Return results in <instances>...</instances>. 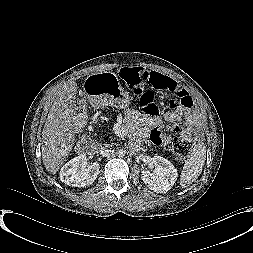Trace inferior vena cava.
Instances as JSON below:
<instances>
[{
	"instance_id": "602c4592",
	"label": "inferior vena cava",
	"mask_w": 253,
	"mask_h": 253,
	"mask_svg": "<svg viewBox=\"0 0 253 253\" xmlns=\"http://www.w3.org/2000/svg\"><path fill=\"white\" fill-rule=\"evenodd\" d=\"M113 154V150H105L103 152V156L110 157Z\"/></svg>"
}]
</instances>
